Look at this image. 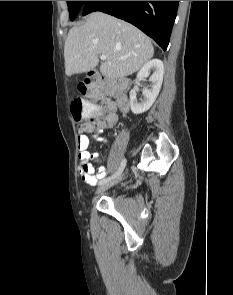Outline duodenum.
<instances>
[{"instance_id":"1","label":"duodenum","mask_w":233,"mask_h":295,"mask_svg":"<svg viewBox=\"0 0 233 295\" xmlns=\"http://www.w3.org/2000/svg\"><path fill=\"white\" fill-rule=\"evenodd\" d=\"M92 76H94V75L92 74ZM118 107L122 111H127L128 110L129 103H128V100H127V98L125 96H121L118 99Z\"/></svg>"}]
</instances>
